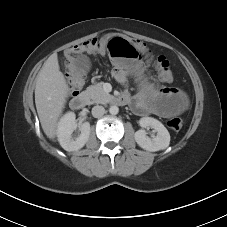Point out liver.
Returning <instances> with one entry per match:
<instances>
[{
    "label": "liver",
    "instance_id": "liver-1",
    "mask_svg": "<svg viewBox=\"0 0 227 227\" xmlns=\"http://www.w3.org/2000/svg\"><path fill=\"white\" fill-rule=\"evenodd\" d=\"M69 88L60 71L56 54L43 64L36 78L35 104L42 129L49 139L57 135L58 119L68 97Z\"/></svg>",
    "mask_w": 227,
    "mask_h": 227
}]
</instances>
